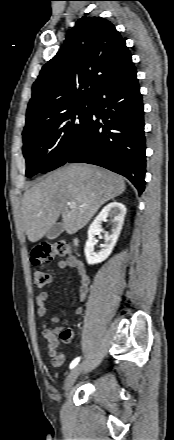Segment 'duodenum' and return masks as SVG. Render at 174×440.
<instances>
[{
    "label": "duodenum",
    "instance_id": "duodenum-1",
    "mask_svg": "<svg viewBox=\"0 0 174 440\" xmlns=\"http://www.w3.org/2000/svg\"><path fill=\"white\" fill-rule=\"evenodd\" d=\"M73 244H74L75 246H78V244H79V241H78V239H77V238H75V239H74V241H73Z\"/></svg>",
    "mask_w": 174,
    "mask_h": 440
}]
</instances>
